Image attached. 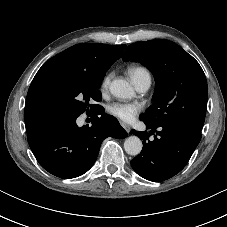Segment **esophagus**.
<instances>
[{"instance_id": "obj_1", "label": "esophagus", "mask_w": 227, "mask_h": 227, "mask_svg": "<svg viewBox=\"0 0 227 227\" xmlns=\"http://www.w3.org/2000/svg\"><path fill=\"white\" fill-rule=\"evenodd\" d=\"M122 127L126 130L128 134H130L131 127L125 123H121Z\"/></svg>"}]
</instances>
